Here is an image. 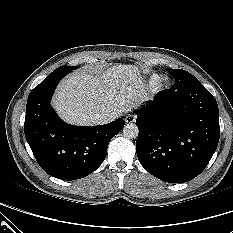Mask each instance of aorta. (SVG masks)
Masks as SVG:
<instances>
[{
	"instance_id": "762f6f07",
	"label": "aorta",
	"mask_w": 233,
	"mask_h": 233,
	"mask_svg": "<svg viewBox=\"0 0 233 233\" xmlns=\"http://www.w3.org/2000/svg\"><path fill=\"white\" fill-rule=\"evenodd\" d=\"M139 130L136 124L134 123H127L123 128V135L126 138L133 139L138 136Z\"/></svg>"
}]
</instances>
